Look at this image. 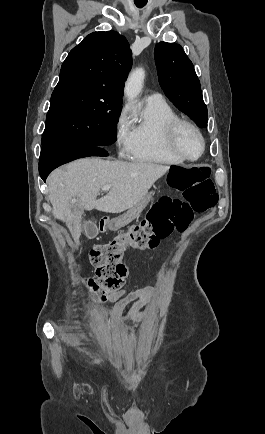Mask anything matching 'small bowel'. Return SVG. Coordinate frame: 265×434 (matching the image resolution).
Segmentation results:
<instances>
[{
  "instance_id": "small-bowel-1",
  "label": "small bowel",
  "mask_w": 265,
  "mask_h": 434,
  "mask_svg": "<svg viewBox=\"0 0 265 434\" xmlns=\"http://www.w3.org/2000/svg\"><path fill=\"white\" fill-rule=\"evenodd\" d=\"M155 297L154 287H143L133 291L127 289H118L113 291L108 296V302L114 304V312L112 316V322L115 323L123 310L130 304L134 307L131 311V318L133 320H140L143 314L139 311V307L147 303Z\"/></svg>"
}]
</instances>
